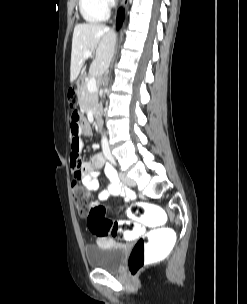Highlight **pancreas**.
Segmentation results:
<instances>
[{
    "mask_svg": "<svg viewBox=\"0 0 247 304\" xmlns=\"http://www.w3.org/2000/svg\"><path fill=\"white\" fill-rule=\"evenodd\" d=\"M79 104L84 111L90 110L92 113H96L99 107L98 94L96 92H90L87 88V81L82 83V89L78 90Z\"/></svg>",
    "mask_w": 247,
    "mask_h": 304,
    "instance_id": "cf45deb5",
    "label": "pancreas"
}]
</instances>
